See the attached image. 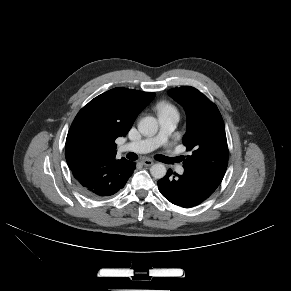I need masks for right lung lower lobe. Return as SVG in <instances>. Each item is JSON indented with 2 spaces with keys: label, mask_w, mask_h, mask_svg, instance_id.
Listing matches in <instances>:
<instances>
[{
  "label": "right lung lower lobe",
  "mask_w": 291,
  "mask_h": 291,
  "mask_svg": "<svg viewBox=\"0 0 291 291\" xmlns=\"http://www.w3.org/2000/svg\"><path fill=\"white\" fill-rule=\"evenodd\" d=\"M116 156L96 157L71 169L81 192L89 198H105L121 190L133 171L134 162Z\"/></svg>",
  "instance_id": "98d812e1"
}]
</instances>
